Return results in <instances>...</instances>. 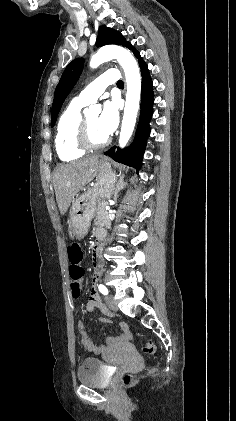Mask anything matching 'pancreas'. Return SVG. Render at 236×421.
<instances>
[{
    "instance_id": "1",
    "label": "pancreas",
    "mask_w": 236,
    "mask_h": 421,
    "mask_svg": "<svg viewBox=\"0 0 236 421\" xmlns=\"http://www.w3.org/2000/svg\"><path fill=\"white\" fill-rule=\"evenodd\" d=\"M106 204L107 202H102V200H99L97 206L96 219H94V223L95 225H97V227H105V229H110L111 221L105 208Z\"/></svg>"
}]
</instances>
